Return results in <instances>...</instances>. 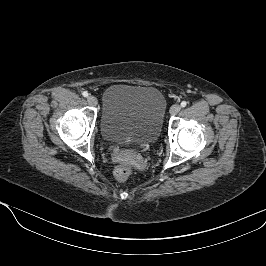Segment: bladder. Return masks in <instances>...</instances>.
<instances>
[{"mask_svg": "<svg viewBox=\"0 0 266 266\" xmlns=\"http://www.w3.org/2000/svg\"><path fill=\"white\" fill-rule=\"evenodd\" d=\"M166 106L155 87L111 85L102 97V136L119 144L153 143L160 136Z\"/></svg>", "mask_w": 266, "mask_h": 266, "instance_id": "1", "label": "bladder"}]
</instances>
